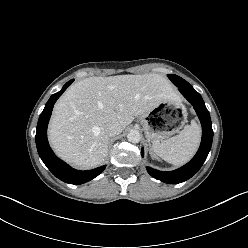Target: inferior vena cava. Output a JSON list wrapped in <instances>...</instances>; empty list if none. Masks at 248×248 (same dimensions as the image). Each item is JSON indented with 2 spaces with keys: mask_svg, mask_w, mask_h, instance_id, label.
I'll use <instances>...</instances> for the list:
<instances>
[{
  "mask_svg": "<svg viewBox=\"0 0 248 248\" xmlns=\"http://www.w3.org/2000/svg\"><path fill=\"white\" fill-rule=\"evenodd\" d=\"M105 131L109 136H115L120 134L122 129L117 123L111 122L106 126Z\"/></svg>",
  "mask_w": 248,
  "mask_h": 248,
  "instance_id": "inferior-vena-cava-1",
  "label": "inferior vena cava"
}]
</instances>
